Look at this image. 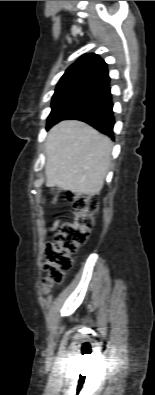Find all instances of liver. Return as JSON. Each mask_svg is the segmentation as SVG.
Wrapping results in <instances>:
<instances>
[{
	"label": "liver",
	"mask_w": 155,
	"mask_h": 395,
	"mask_svg": "<svg viewBox=\"0 0 155 395\" xmlns=\"http://www.w3.org/2000/svg\"><path fill=\"white\" fill-rule=\"evenodd\" d=\"M111 140L84 122L64 120L46 139V185L94 196L111 165Z\"/></svg>",
	"instance_id": "obj_1"
}]
</instances>
